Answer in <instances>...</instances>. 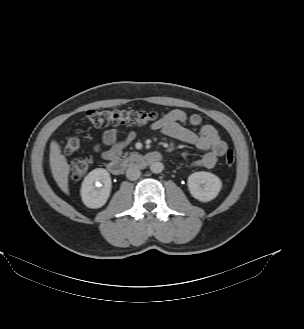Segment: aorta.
<instances>
[{
	"mask_svg": "<svg viewBox=\"0 0 304 329\" xmlns=\"http://www.w3.org/2000/svg\"><path fill=\"white\" fill-rule=\"evenodd\" d=\"M164 169V165L161 162H152L150 165V170L152 173H161Z\"/></svg>",
	"mask_w": 304,
	"mask_h": 329,
	"instance_id": "obj_1",
	"label": "aorta"
}]
</instances>
